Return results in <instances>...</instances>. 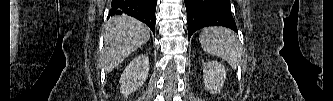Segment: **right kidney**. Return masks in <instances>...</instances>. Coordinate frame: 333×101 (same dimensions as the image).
I'll use <instances>...</instances> for the list:
<instances>
[{"instance_id":"1","label":"right kidney","mask_w":333,"mask_h":101,"mask_svg":"<svg viewBox=\"0 0 333 101\" xmlns=\"http://www.w3.org/2000/svg\"><path fill=\"white\" fill-rule=\"evenodd\" d=\"M149 58L147 54L135 57L120 77V91L126 97L141 87L148 77Z\"/></svg>"}]
</instances>
